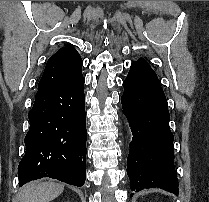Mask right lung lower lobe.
Listing matches in <instances>:
<instances>
[{
  "instance_id": "right-lung-lower-lobe-1",
  "label": "right lung lower lobe",
  "mask_w": 209,
  "mask_h": 202,
  "mask_svg": "<svg viewBox=\"0 0 209 202\" xmlns=\"http://www.w3.org/2000/svg\"><path fill=\"white\" fill-rule=\"evenodd\" d=\"M68 58L50 57L28 113L19 185L50 177L81 187L86 180V114L82 72L68 75Z\"/></svg>"
}]
</instances>
